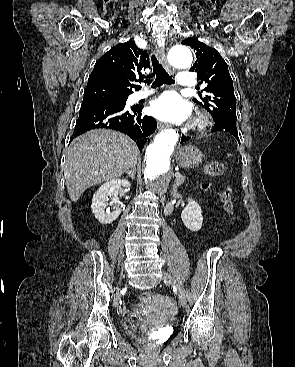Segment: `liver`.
Segmentation results:
<instances>
[{"label":"liver","mask_w":295,"mask_h":367,"mask_svg":"<svg viewBox=\"0 0 295 367\" xmlns=\"http://www.w3.org/2000/svg\"><path fill=\"white\" fill-rule=\"evenodd\" d=\"M138 155L132 139L112 130H92L73 140L64 171L71 201H78L87 188L121 176L135 166Z\"/></svg>","instance_id":"6515ba94"}]
</instances>
